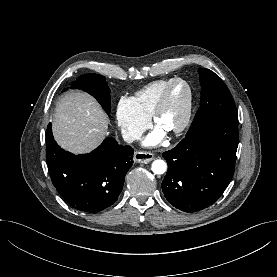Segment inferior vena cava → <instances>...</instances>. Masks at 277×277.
Returning a JSON list of instances; mask_svg holds the SVG:
<instances>
[{
	"label": "inferior vena cava",
	"instance_id": "602c4592",
	"mask_svg": "<svg viewBox=\"0 0 277 277\" xmlns=\"http://www.w3.org/2000/svg\"><path fill=\"white\" fill-rule=\"evenodd\" d=\"M121 134H122L124 141L127 143H131L140 138L139 134H137L133 131H130L128 129H122Z\"/></svg>",
	"mask_w": 277,
	"mask_h": 277
}]
</instances>
